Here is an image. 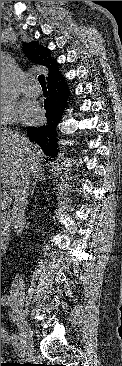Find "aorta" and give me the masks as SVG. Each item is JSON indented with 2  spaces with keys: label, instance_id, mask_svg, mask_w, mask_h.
<instances>
[{
  "label": "aorta",
  "instance_id": "aorta-1",
  "mask_svg": "<svg viewBox=\"0 0 122 366\" xmlns=\"http://www.w3.org/2000/svg\"><path fill=\"white\" fill-rule=\"evenodd\" d=\"M10 78L7 69L1 67V96L5 95L10 89Z\"/></svg>",
  "mask_w": 122,
  "mask_h": 366
}]
</instances>
